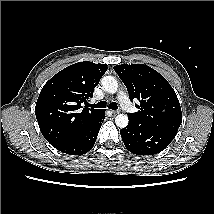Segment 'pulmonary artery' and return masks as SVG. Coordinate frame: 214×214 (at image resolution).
<instances>
[{
    "mask_svg": "<svg viewBox=\"0 0 214 214\" xmlns=\"http://www.w3.org/2000/svg\"><path fill=\"white\" fill-rule=\"evenodd\" d=\"M117 98H118L119 103L122 106V108H124L127 112L132 111V105H131L130 100L127 96V93L125 91L121 90L118 93Z\"/></svg>",
    "mask_w": 214,
    "mask_h": 214,
    "instance_id": "pulmonary-artery-1",
    "label": "pulmonary artery"
}]
</instances>
